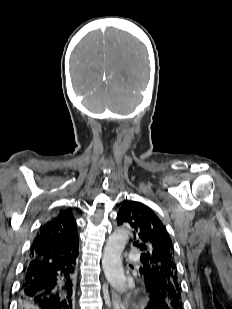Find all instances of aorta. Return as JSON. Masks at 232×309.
I'll list each match as a JSON object with an SVG mask.
<instances>
[{
    "instance_id": "762f6f07",
    "label": "aorta",
    "mask_w": 232,
    "mask_h": 309,
    "mask_svg": "<svg viewBox=\"0 0 232 309\" xmlns=\"http://www.w3.org/2000/svg\"><path fill=\"white\" fill-rule=\"evenodd\" d=\"M128 238V231L125 228L115 230L106 242L102 258L105 277L110 285L118 291H124L126 289V276L122 265L121 254Z\"/></svg>"
}]
</instances>
